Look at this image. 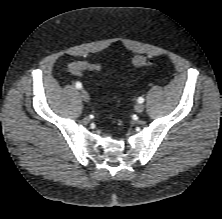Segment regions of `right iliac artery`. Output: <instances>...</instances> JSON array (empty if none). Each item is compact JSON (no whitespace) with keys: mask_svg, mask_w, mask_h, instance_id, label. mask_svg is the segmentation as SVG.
<instances>
[{"mask_svg":"<svg viewBox=\"0 0 222 219\" xmlns=\"http://www.w3.org/2000/svg\"><path fill=\"white\" fill-rule=\"evenodd\" d=\"M75 87L77 89H81L82 88V84L80 82H76Z\"/></svg>","mask_w":222,"mask_h":219,"instance_id":"obj_1","label":"right iliac artery"}]
</instances>
